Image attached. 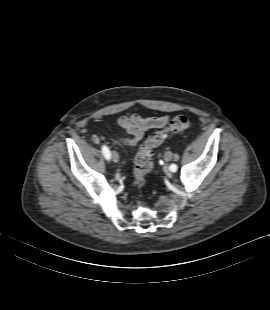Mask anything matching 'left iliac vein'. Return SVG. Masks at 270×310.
Returning <instances> with one entry per match:
<instances>
[{"mask_svg":"<svg viewBox=\"0 0 270 310\" xmlns=\"http://www.w3.org/2000/svg\"><path fill=\"white\" fill-rule=\"evenodd\" d=\"M172 157H173V154L170 151L166 152L164 155V158L166 161H170L172 159Z\"/></svg>","mask_w":270,"mask_h":310,"instance_id":"left-iliac-vein-1","label":"left iliac vein"}]
</instances>
